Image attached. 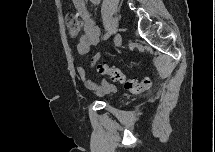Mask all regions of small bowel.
I'll list each match as a JSON object with an SVG mask.
<instances>
[{"label": "small bowel", "mask_w": 215, "mask_h": 152, "mask_svg": "<svg viewBox=\"0 0 215 152\" xmlns=\"http://www.w3.org/2000/svg\"><path fill=\"white\" fill-rule=\"evenodd\" d=\"M93 3L98 4L99 0H93ZM73 4L77 15L82 20L84 31L77 43V51L80 55H85L89 52L91 46H94L99 42L100 30L91 18L84 0H73ZM100 58L101 55L96 54L93 56L92 62L95 63ZM77 74L84 83L85 87L94 91L98 95H106L116 91V86L107 81H102L99 85L94 83L87 77L86 70L82 66L77 68Z\"/></svg>", "instance_id": "small-bowel-1"}]
</instances>
